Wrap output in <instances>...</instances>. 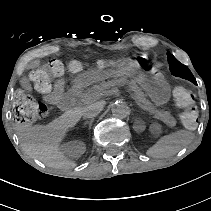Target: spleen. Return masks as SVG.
<instances>
[{"label":"spleen","instance_id":"1","mask_svg":"<svg viewBox=\"0 0 211 211\" xmlns=\"http://www.w3.org/2000/svg\"><path fill=\"white\" fill-rule=\"evenodd\" d=\"M194 139V134L187 130H179L172 134L161 137L146 154L152 158H168L183 147L189 145Z\"/></svg>","mask_w":211,"mask_h":211}]
</instances>
